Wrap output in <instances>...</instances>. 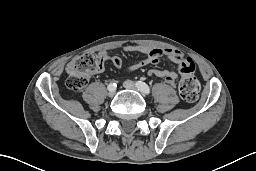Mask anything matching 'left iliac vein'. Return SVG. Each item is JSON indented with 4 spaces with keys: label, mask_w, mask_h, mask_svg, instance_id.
Returning a JSON list of instances; mask_svg holds the SVG:
<instances>
[{
    "label": "left iliac vein",
    "mask_w": 256,
    "mask_h": 171,
    "mask_svg": "<svg viewBox=\"0 0 256 171\" xmlns=\"http://www.w3.org/2000/svg\"><path fill=\"white\" fill-rule=\"evenodd\" d=\"M123 86L126 88V89H130V90H136V91H139V92H142L137 86L136 84L131 81V80H127L123 83Z\"/></svg>",
    "instance_id": "left-iliac-vein-1"
}]
</instances>
